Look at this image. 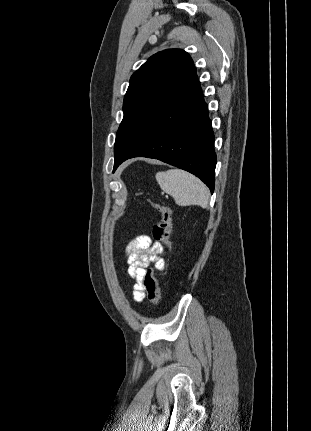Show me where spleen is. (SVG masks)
<instances>
[{
    "label": "spleen",
    "mask_w": 311,
    "mask_h": 431,
    "mask_svg": "<svg viewBox=\"0 0 311 431\" xmlns=\"http://www.w3.org/2000/svg\"><path fill=\"white\" fill-rule=\"evenodd\" d=\"M161 190L172 196L178 206L207 208L209 190L201 180L184 170H167L155 176Z\"/></svg>",
    "instance_id": "1"
}]
</instances>
